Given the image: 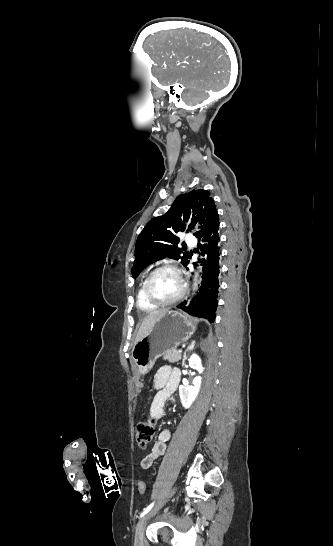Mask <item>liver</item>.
<instances>
[{
	"label": "liver",
	"mask_w": 333,
	"mask_h": 546,
	"mask_svg": "<svg viewBox=\"0 0 333 546\" xmlns=\"http://www.w3.org/2000/svg\"><path fill=\"white\" fill-rule=\"evenodd\" d=\"M169 310L168 309H160L156 311L150 312L142 321L139 330L137 332V336L135 338V343H137L139 340H141L143 337H145L149 331L152 329L154 324L161 319Z\"/></svg>",
	"instance_id": "obj_1"
}]
</instances>
